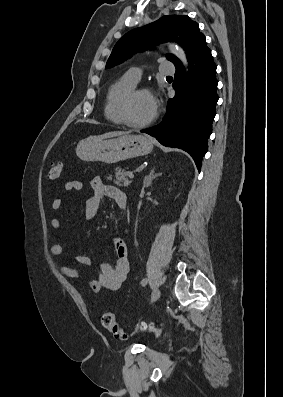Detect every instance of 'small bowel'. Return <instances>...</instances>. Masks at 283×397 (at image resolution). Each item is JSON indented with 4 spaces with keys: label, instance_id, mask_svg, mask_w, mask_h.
Instances as JSON below:
<instances>
[{
    "label": "small bowel",
    "instance_id": "obj_1",
    "mask_svg": "<svg viewBox=\"0 0 283 397\" xmlns=\"http://www.w3.org/2000/svg\"><path fill=\"white\" fill-rule=\"evenodd\" d=\"M67 191L81 190L83 183L80 180L67 181L64 185ZM92 195L86 201L85 218L89 221L95 219L98 215L100 205L105 197L113 200L119 208H125L127 205V197L123 191L117 187L106 185L99 177H95L91 181ZM62 207V199L57 197L52 202V209L58 211ZM51 227L60 231L62 223L59 218L53 217L50 220ZM116 255L114 264L102 263L99 266V275L96 279L90 281L89 285L93 292H99L102 289L117 291L125 281L129 272V261L127 246L122 239L116 238L112 242ZM63 253V246L60 243L52 244L50 254L59 256ZM77 263L81 265H91L92 260L88 256L77 255L75 257ZM62 275L71 279H81L82 274L75 267L62 266L59 268Z\"/></svg>",
    "mask_w": 283,
    "mask_h": 397
}]
</instances>
